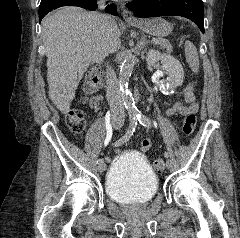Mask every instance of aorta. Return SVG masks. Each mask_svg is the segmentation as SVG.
Wrapping results in <instances>:
<instances>
[{"label":"aorta","instance_id":"aorta-1","mask_svg":"<svg viewBox=\"0 0 240 238\" xmlns=\"http://www.w3.org/2000/svg\"><path fill=\"white\" fill-rule=\"evenodd\" d=\"M135 60L136 57L131 53L127 54L124 57L120 66L118 79L121 97L124 101V105L128 111L129 116H135L139 112L135 105L134 99L128 90L129 79L135 65Z\"/></svg>","mask_w":240,"mask_h":238}]
</instances>
